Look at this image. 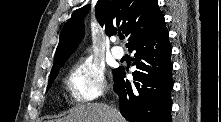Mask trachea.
Segmentation results:
<instances>
[{
	"instance_id": "obj_1",
	"label": "trachea",
	"mask_w": 221,
	"mask_h": 122,
	"mask_svg": "<svg viewBox=\"0 0 221 122\" xmlns=\"http://www.w3.org/2000/svg\"><path fill=\"white\" fill-rule=\"evenodd\" d=\"M119 38H120L121 40H123V39H124V36L121 35V36H119Z\"/></svg>"
}]
</instances>
